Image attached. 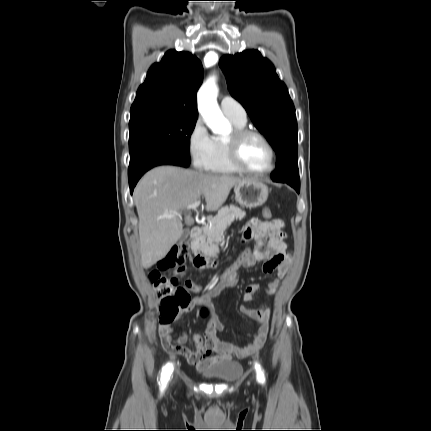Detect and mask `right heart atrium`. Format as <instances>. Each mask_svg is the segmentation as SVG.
Listing matches in <instances>:
<instances>
[{
    "mask_svg": "<svg viewBox=\"0 0 431 431\" xmlns=\"http://www.w3.org/2000/svg\"><path fill=\"white\" fill-rule=\"evenodd\" d=\"M188 153L194 168L210 170L216 153V140L208 132L202 119L194 122L187 136Z\"/></svg>",
    "mask_w": 431,
    "mask_h": 431,
    "instance_id": "obj_1",
    "label": "right heart atrium"
}]
</instances>
